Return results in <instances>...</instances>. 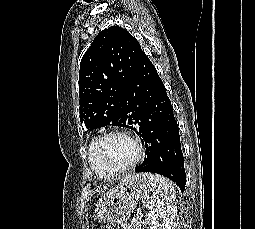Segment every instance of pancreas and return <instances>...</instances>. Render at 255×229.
<instances>
[{
    "label": "pancreas",
    "instance_id": "1",
    "mask_svg": "<svg viewBox=\"0 0 255 229\" xmlns=\"http://www.w3.org/2000/svg\"><path fill=\"white\" fill-rule=\"evenodd\" d=\"M123 229H142V215L137 213L130 224L123 225Z\"/></svg>",
    "mask_w": 255,
    "mask_h": 229
}]
</instances>
